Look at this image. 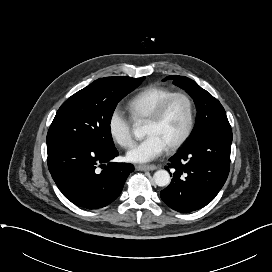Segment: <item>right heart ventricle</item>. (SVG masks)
Listing matches in <instances>:
<instances>
[{"mask_svg":"<svg viewBox=\"0 0 272 272\" xmlns=\"http://www.w3.org/2000/svg\"><path fill=\"white\" fill-rule=\"evenodd\" d=\"M172 92L170 88L153 85L136 93L127 103L132 120L135 122L147 120L156 106Z\"/></svg>","mask_w":272,"mask_h":272,"instance_id":"right-heart-ventricle-1","label":"right heart ventricle"}]
</instances>
